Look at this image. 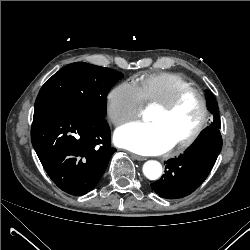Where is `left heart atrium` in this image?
<instances>
[{
  "label": "left heart atrium",
  "mask_w": 250,
  "mask_h": 250,
  "mask_svg": "<svg viewBox=\"0 0 250 250\" xmlns=\"http://www.w3.org/2000/svg\"><path fill=\"white\" fill-rule=\"evenodd\" d=\"M114 139L119 146L143 155L161 154L174 145L154 123L126 124L116 131Z\"/></svg>",
  "instance_id": "left-heart-atrium-1"
}]
</instances>
